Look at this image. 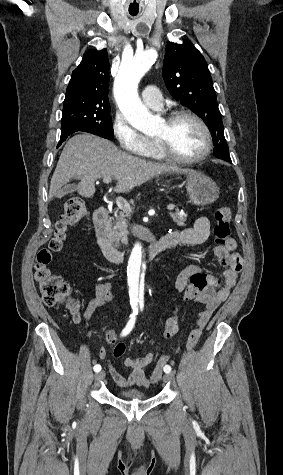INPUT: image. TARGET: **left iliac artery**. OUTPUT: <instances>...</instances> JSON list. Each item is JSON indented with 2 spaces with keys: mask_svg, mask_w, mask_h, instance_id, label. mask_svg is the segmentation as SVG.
<instances>
[{
  "mask_svg": "<svg viewBox=\"0 0 283 475\" xmlns=\"http://www.w3.org/2000/svg\"><path fill=\"white\" fill-rule=\"evenodd\" d=\"M164 372H165V373H170V372H171V367H170L169 365H166V366L164 367Z\"/></svg>",
  "mask_w": 283,
  "mask_h": 475,
  "instance_id": "44dca946",
  "label": "left iliac artery"
}]
</instances>
